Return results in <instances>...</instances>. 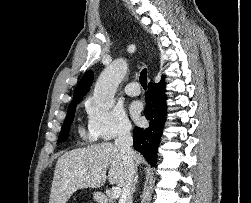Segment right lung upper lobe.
<instances>
[{"instance_id":"cb5924a9","label":"right lung upper lobe","mask_w":251,"mask_h":203,"mask_svg":"<svg viewBox=\"0 0 251 203\" xmlns=\"http://www.w3.org/2000/svg\"><path fill=\"white\" fill-rule=\"evenodd\" d=\"M93 73L92 71H87L83 77L81 78L80 82L75 88L73 101L70 103L80 102L85 94L89 91L92 81H93Z\"/></svg>"}]
</instances>
